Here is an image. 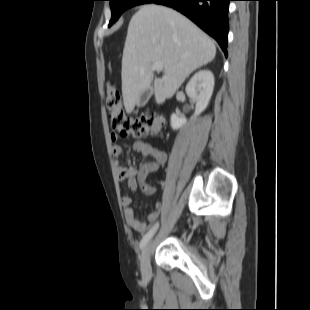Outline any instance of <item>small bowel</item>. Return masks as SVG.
Masks as SVG:
<instances>
[{"label": "small bowel", "mask_w": 310, "mask_h": 310, "mask_svg": "<svg viewBox=\"0 0 310 310\" xmlns=\"http://www.w3.org/2000/svg\"><path fill=\"white\" fill-rule=\"evenodd\" d=\"M119 136L115 133L110 135V141L112 142V154L116 159V169L118 178L120 181L125 182L127 188L135 192L138 188L145 195H152L155 192L154 187L146 182L149 174L158 171L167 161V154L153 146L150 143L138 140L133 143V150L145 157L152 158V161L144 163L140 168H137L131 164L125 165L121 160L122 149L117 144ZM124 216L127 225L136 231L137 233L143 234L147 229V222L145 220L136 217L133 209L131 208L132 199L129 196H123L121 199ZM159 214L157 211H153L148 214V222H155Z\"/></svg>", "instance_id": "1"}]
</instances>
